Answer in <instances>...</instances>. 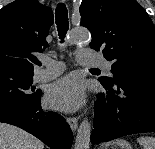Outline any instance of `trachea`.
<instances>
[{"label":"trachea","mask_w":155,"mask_h":149,"mask_svg":"<svg viewBox=\"0 0 155 149\" xmlns=\"http://www.w3.org/2000/svg\"><path fill=\"white\" fill-rule=\"evenodd\" d=\"M55 18H56V25L57 30L59 33V38L62 40L65 38V35L69 28L68 22V10L64 3H59L55 10ZM96 69V68H92Z\"/></svg>","instance_id":"obj_1"}]
</instances>
